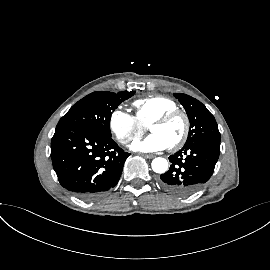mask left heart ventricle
Returning a JSON list of instances; mask_svg holds the SVG:
<instances>
[{
    "label": "left heart ventricle",
    "mask_w": 270,
    "mask_h": 270,
    "mask_svg": "<svg viewBox=\"0 0 270 270\" xmlns=\"http://www.w3.org/2000/svg\"><path fill=\"white\" fill-rule=\"evenodd\" d=\"M184 121L181 117H175L165 124L150 127V131L159 135L168 146L174 144L182 135Z\"/></svg>",
    "instance_id": "left-heart-ventricle-1"
}]
</instances>
